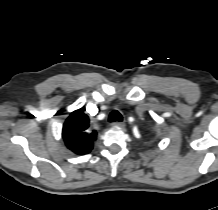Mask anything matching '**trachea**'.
Here are the masks:
<instances>
[{
    "instance_id": "trachea-1",
    "label": "trachea",
    "mask_w": 218,
    "mask_h": 210,
    "mask_svg": "<svg viewBox=\"0 0 218 210\" xmlns=\"http://www.w3.org/2000/svg\"><path fill=\"white\" fill-rule=\"evenodd\" d=\"M109 122H121L123 120L122 115L117 111L113 110L109 115Z\"/></svg>"
}]
</instances>
